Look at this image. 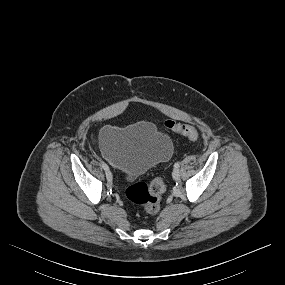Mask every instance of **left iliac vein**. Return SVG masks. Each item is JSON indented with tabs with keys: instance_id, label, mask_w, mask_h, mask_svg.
Here are the masks:
<instances>
[{
	"instance_id": "1",
	"label": "left iliac vein",
	"mask_w": 285,
	"mask_h": 285,
	"mask_svg": "<svg viewBox=\"0 0 285 285\" xmlns=\"http://www.w3.org/2000/svg\"><path fill=\"white\" fill-rule=\"evenodd\" d=\"M172 177L174 180H178L180 178V172L178 169H174L172 172Z\"/></svg>"
}]
</instances>
